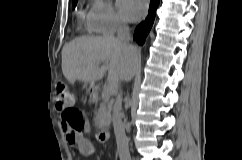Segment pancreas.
Instances as JSON below:
<instances>
[{
	"label": "pancreas",
	"mask_w": 242,
	"mask_h": 160,
	"mask_svg": "<svg viewBox=\"0 0 242 160\" xmlns=\"http://www.w3.org/2000/svg\"><path fill=\"white\" fill-rule=\"evenodd\" d=\"M98 98V96H95ZM95 126L97 128L108 127L111 123V108L108 99L102 98L99 108L95 111Z\"/></svg>",
	"instance_id": "1"
}]
</instances>
